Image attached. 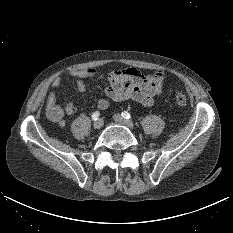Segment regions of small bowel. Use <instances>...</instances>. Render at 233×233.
Listing matches in <instances>:
<instances>
[{
  "instance_id": "1",
  "label": "small bowel",
  "mask_w": 233,
  "mask_h": 233,
  "mask_svg": "<svg viewBox=\"0 0 233 233\" xmlns=\"http://www.w3.org/2000/svg\"><path fill=\"white\" fill-rule=\"evenodd\" d=\"M71 74L76 77V87L80 92L88 88V80L97 78L105 84L107 98H101L97 102V107L105 110L110 107L111 102H121L133 100L143 106H152L156 99L162 94L164 73L155 71L143 73L135 67L111 70L108 72L100 71L96 68H86L74 70ZM63 84L61 78L52 81L51 86L60 87ZM58 94L51 92L47 96L45 113L47 118L64 127L66 125L65 115H73L77 108L73 103H67L65 107L57 104Z\"/></svg>"
}]
</instances>
